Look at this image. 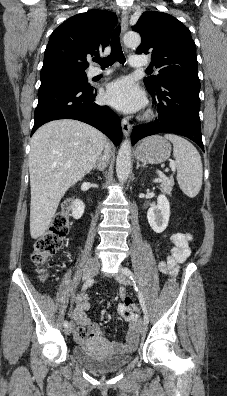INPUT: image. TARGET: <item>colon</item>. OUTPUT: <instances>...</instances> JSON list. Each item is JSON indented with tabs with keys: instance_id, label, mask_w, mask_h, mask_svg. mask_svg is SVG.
<instances>
[{
	"instance_id": "colon-1",
	"label": "colon",
	"mask_w": 227,
	"mask_h": 396,
	"mask_svg": "<svg viewBox=\"0 0 227 396\" xmlns=\"http://www.w3.org/2000/svg\"><path fill=\"white\" fill-rule=\"evenodd\" d=\"M72 200H67L60 212H58L48 230L36 240L32 253V261L40 268V278L45 280L47 277L46 265L48 261L62 246L63 240L68 233L69 214L72 207ZM124 303L127 306H134L131 298L126 297Z\"/></svg>"
}]
</instances>
